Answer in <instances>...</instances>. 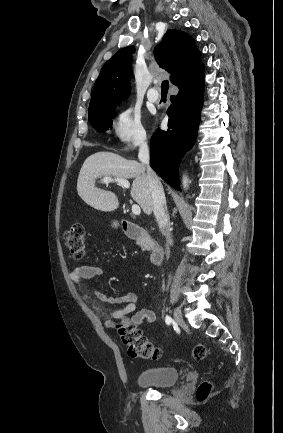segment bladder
Masks as SVG:
<instances>
[{
	"instance_id": "31cf9c89",
	"label": "bladder",
	"mask_w": 283,
	"mask_h": 433,
	"mask_svg": "<svg viewBox=\"0 0 283 433\" xmlns=\"http://www.w3.org/2000/svg\"><path fill=\"white\" fill-rule=\"evenodd\" d=\"M179 377L180 372L178 368L172 366L159 367L142 372L137 383L140 386L152 385L166 388L174 385Z\"/></svg>"
}]
</instances>
